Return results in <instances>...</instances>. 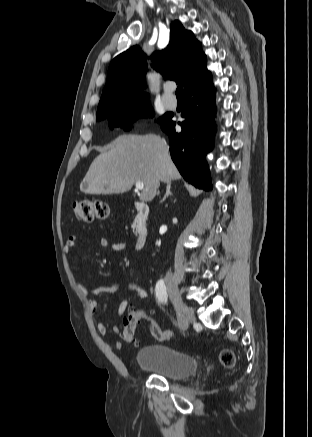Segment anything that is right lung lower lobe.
<instances>
[{
    "label": "right lung lower lobe",
    "instance_id": "obj_1",
    "mask_svg": "<svg viewBox=\"0 0 312 437\" xmlns=\"http://www.w3.org/2000/svg\"><path fill=\"white\" fill-rule=\"evenodd\" d=\"M187 107L181 114L185 121L179 123L180 133L175 132V122L169 119L161 124L170 135V152L180 174L190 184L206 191L212 189L207 152L213 148L216 131L214 124L215 89L211 74L185 90Z\"/></svg>",
    "mask_w": 312,
    "mask_h": 437
}]
</instances>
